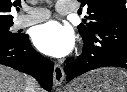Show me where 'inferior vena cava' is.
<instances>
[{
  "label": "inferior vena cava",
  "mask_w": 127,
  "mask_h": 92,
  "mask_svg": "<svg viewBox=\"0 0 127 92\" xmlns=\"http://www.w3.org/2000/svg\"><path fill=\"white\" fill-rule=\"evenodd\" d=\"M35 84H36L35 80L32 77H29L25 91L26 92H34Z\"/></svg>",
  "instance_id": "1"
}]
</instances>
